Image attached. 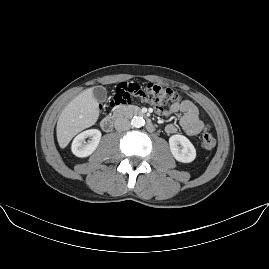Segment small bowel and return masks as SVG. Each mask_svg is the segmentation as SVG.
Listing matches in <instances>:
<instances>
[{"label":"small bowel","mask_w":269,"mask_h":269,"mask_svg":"<svg viewBox=\"0 0 269 269\" xmlns=\"http://www.w3.org/2000/svg\"><path fill=\"white\" fill-rule=\"evenodd\" d=\"M162 113L165 116L180 114V127L186 135L190 137H195L208 128V126L200 119L196 105L190 100L178 102L172 105L169 109L163 110ZM166 132L169 134L176 133L177 126L175 124H168L166 126Z\"/></svg>","instance_id":"c3829d8e"}]
</instances>
